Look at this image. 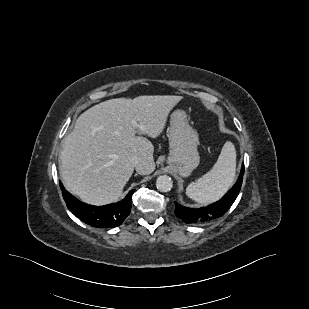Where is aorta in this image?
I'll return each mask as SVG.
<instances>
[{"label":"aorta","mask_w":309,"mask_h":309,"mask_svg":"<svg viewBox=\"0 0 309 309\" xmlns=\"http://www.w3.org/2000/svg\"><path fill=\"white\" fill-rule=\"evenodd\" d=\"M156 187L161 192H169L173 187V181L169 176L161 175L156 180Z\"/></svg>","instance_id":"obj_1"}]
</instances>
